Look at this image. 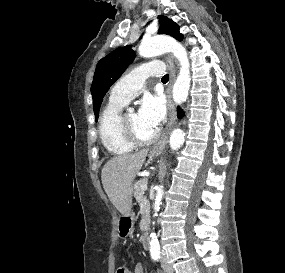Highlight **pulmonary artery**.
Here are the masks:
<instances>
[{"label":"pulmonary artery","mask_w":285,"mask_h":273,"mask_svg":"<svg viewBox=\"0 0 285 273\" xmlns=\"http://www.w3.org/2000/svg\"><path fill=\"white\" fill-rule=\"evenodd\" d=\"M165 70V65L159 61H149L139 65L115 84L110 101L129 102L139 93L148 77H160L164 75Z\"/></svg>","instance_id":"e3ab8cb5"}]
</instances>
